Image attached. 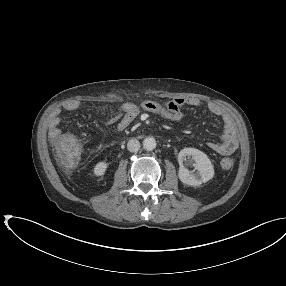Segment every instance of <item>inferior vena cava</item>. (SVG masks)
Here are the masks:
<instances>
[{
  "mask_svg": "<svg viewBox=\"0 0 286 286\" xmlns=\"http://www.w3.org/2000/svg\"><path fill=\"white\" fill-rule=\"evenodd\" d=\"M140 148V142L137 139H131L127 143V149L130 152H137Z\"/></svg>",
  "mask_w": 286,
  "mask_h": 286,
  "instance_id": "obj_1",
  "label": "inferior vena cava"
}]
</instances>
